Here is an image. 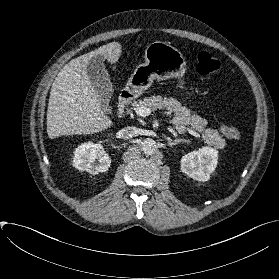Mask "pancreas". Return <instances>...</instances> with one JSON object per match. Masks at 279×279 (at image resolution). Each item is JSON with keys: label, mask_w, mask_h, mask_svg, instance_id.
Returning a JSON list of instances; mask_svg holds the SVG:
<instances>
[{"label": "pancreas", "mask_w": 279, "mask_h": 279, "mask_svg": "<svg viewBox=\"0 0 279 279\" xmlns=\"http://www.w3.org/2000/svg\"><path fill=\"white\" fill-rule=\"evenodd\" d=\"M140 106L149 108L151 112L161 110L164 115L168 117L173 116L171 123H173L180 133L184 132L190 125L192 128L202 133V138L208 145L215 146L218 149H223L225 146V140L217 130L205 129L207 120L182 106L181 103L174 98H162L161 96L146 97L140 100L135 105V108Z\"/></svg>", "instance_id": "cf45deb5"}]
</instances>
